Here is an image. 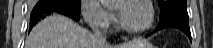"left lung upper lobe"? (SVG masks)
I'll return each instance as SVG.
<instances>
[{"label": "left lung upper lobe", "instance_id": "left-lung-upper-lobe-1", "mask_svg": "<svg viewBox=\"0 0 213 48\" xmlns=\"http://www.w3.org/2000/svg\"><path fill=\"white\" fill-rule=\"evenodd\" d=\"M161 14L160 20L168 16L188 18L186 0H158Z\"/></svg>", "mask_w": 213, "mask_h": 48}]
</instances>
